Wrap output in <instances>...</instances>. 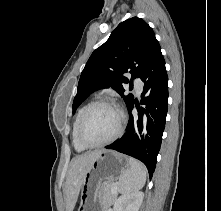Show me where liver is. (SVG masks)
<instances>
[{
	"label": "liver",
	"mask_w": 221,
	"mask_h": 211,
	"mask_svg": "<svg viewBox=\"0 0 221 211\" xmlns=\"http://www.w3.org/2000/svg\"><path fill=\"white\" fill-rule=\"evenodd\" d=\"M102 150L88 152L72 159L65 182L66 211H73L86 171Z\"/></svg>",
	"instance_id": "obj_1"
}]
</instances>
